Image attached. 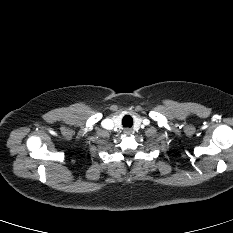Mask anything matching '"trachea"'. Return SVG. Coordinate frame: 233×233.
Segmentation results:
<instances>
[{"label": "trachea", "instance_id": "obj_1", "mask_svg": "<svg viewBox=\"0 0 233 233\" xmlns=\"http://www.w3.org/2000/svg\"><path fill=\"white\" fill-rule=\"evenodd\" d=\"M122 124L124 127H131L133 125V119L130 115L123 117Z\"/></svg>", "mask_w": 233, "mask_h": 233}]
</instances>
